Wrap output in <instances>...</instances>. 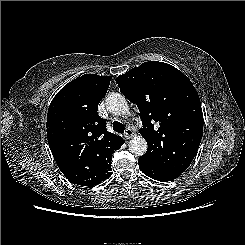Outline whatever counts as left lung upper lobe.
I'll return each instance as SVG.
<instances>
[{
	"mask_svg": "<svg viewBox=\"0 0 245 245\" xmlns=\"http://www.w3.org/2000/svg\"><path fill=\"white\" fill-rule=\"evenodd\" d=\"M116 82L140 111V134L148 149L139 160L164 170L184 172L203 134L199 95L188 77L167 63L150 61L118 76Z\"/></svg>",
	"mask_w": 245,
	"mask_h": 245,
	"instance_id": "left-lung-upper-lobe-1",
	"label": "left lung upper lobe"
}]
</instances>
